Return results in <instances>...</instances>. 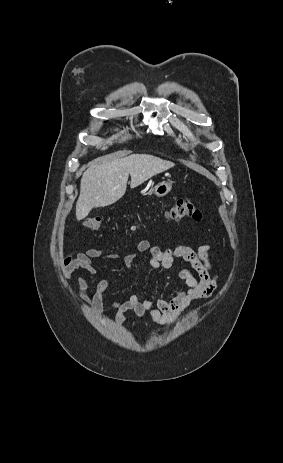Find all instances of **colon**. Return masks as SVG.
<instances>
[{
  "instance_id": "obj_1",
  "label": "colon",
  "mask_w": 283,
  "mask_h": 463,
  "mask_svg": "<svg viewBox=\"0 0 283 463\" xmlns=\"http://www.w3.org/2000/svg\"><path fill=\"white\" fill-rule=\"evenodd\" d=\"M169 219L182 220L193 219L200 220V211L187 199H179L173 203L168 214ZM103 220L100 217H91L84 220V227L92 232H97L101 229Z\"/></svg>"
}]
</instances>
